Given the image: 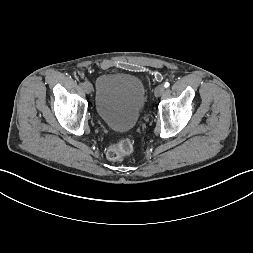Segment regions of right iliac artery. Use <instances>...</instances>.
I'll return each instance as SVG.
<instances>
[{"label": "right iliac artery", "mask_w": 253, "mask_h": 253, "mask_svg": "<svg viewBox=\"0 0 253 253\" xmlns=\"http://www.w3.org/2000/svg\"><path fill=\"white\" fill-rule=\"evenodd\" d=\"M86 84V82H81L80 85L84 87V85Z\"/></svg>", "instance_id": "right-iliac-artery-1"}]
</instances>
